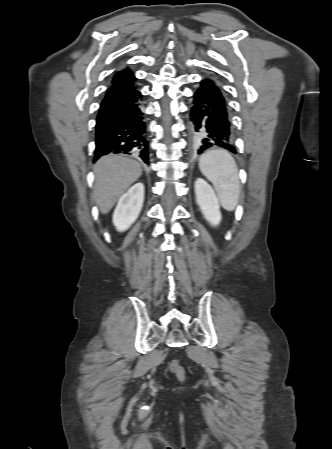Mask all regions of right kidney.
<instances>
[{"mask_svg":"<svg viewBox=\"0 0 332 449\" xmlns=\"http://www.w3.org/2000/svg\"><path fill=\"white\" fill-rule=\"evenodd\" d=\"M143 202V183H136L120 197L113 214V224L118 231L127 230L136 221L143 207Z\"/></svg>","mask_w":332,"mask_h":449,"instance_id":"1","label":"right kidney"}]
</instances>
